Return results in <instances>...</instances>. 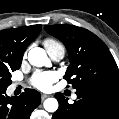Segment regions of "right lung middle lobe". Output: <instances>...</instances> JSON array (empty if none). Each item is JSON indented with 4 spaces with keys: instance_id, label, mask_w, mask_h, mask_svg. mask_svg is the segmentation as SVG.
I'll use <instances>...</instances> for the list:
<instances>
[{
    "instance_id": "dd1d6c3e",
    "label": "right lung middle lobe",
    "mask_w": 119,
    "mask_h": 119,
    "mask_svg": "<svg viewBox=\"0 0 119 119\" xmlns=\"http://www.w3.org/2000/svg\"><path fill=\"white\" fill-rule=\"evenodd\" d=\"M15 69L0 68V90H5L11 84V72Z\"/></svg>"
}]
</instances>
